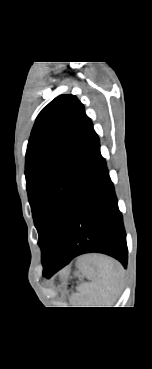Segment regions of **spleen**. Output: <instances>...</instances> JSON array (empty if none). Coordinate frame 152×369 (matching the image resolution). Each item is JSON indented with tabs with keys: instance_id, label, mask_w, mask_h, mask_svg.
Listing matches in <instances>:
<instances>
[{
	"instance_id": "spleen-1",
	"label": "spleen",
	"mask_w": 152,
	"mask_h": 369,
	"mask_svg": "<svg viewBox=\"0 0 152 369\" xmlns=\"http://www.w3.org/2000/svg\"><path fill=\"white\" fill-rule=\"evenodd\" d=\"M84 271L91 282L78 287V307H111L120 292L122 266L107 256L90 255Z\"/></svg>"
}]
</instances>
